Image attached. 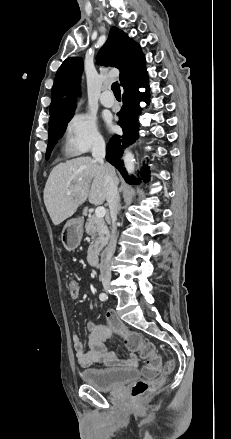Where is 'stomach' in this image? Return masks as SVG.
<instances>
[{
  "label": "stomach",
  "mask_w": 231,
  "mask_h": 439,
  "mask_svg": "<svg viewBox=\"0 0 231 439\" xmlns=\"http://www.w3.org/2000/svg\"><path fill=\"white\" fill-rule=\"evenodd\" d=\"M83 236V225L80 219L74 218L66 222L62 233L61 241L63 246L72 251L78 247Z\"/></svg>",
  "instance_id": "0dacf381"
}]
</instances>
